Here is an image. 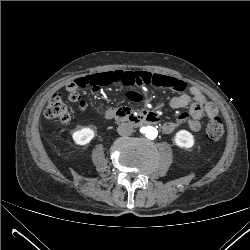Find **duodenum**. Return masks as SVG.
Returning a JSON list of instances; mask_svg holds the SVG:
<instances>
[{"label":"duodenum","mask_w":250,"mask_h":250,"mask_svg":"<svg viewBox=\"0 0 250 250\" xmlns=\"http://www.w3.org/2000/svg\"><path fill=\"white\" fill-rule=\"evenodd\" d=\"M124 115H126V112L122 108L108 107L104 112V117L106 120H112ZM137 122L154 125L158 123V117L154 113L148 112L145 114L144 119H138Z\"/></svg>","instance_id":"duodenum-1"}]
</instances>
